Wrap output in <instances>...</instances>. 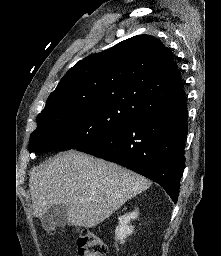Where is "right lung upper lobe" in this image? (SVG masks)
<instances>
[{
    "label": "right lung upper lobe",
    "mask_w": 221,
    "mask_h": 256,
    "mask_svg": "<svg viewBox=\"0 0 221 256\" xmlns=\"http://www.w3.org/2000/svg\"><path fill=\"white\" fill-rule=\"evenodd\" d=\"M185 101L170 50L153 36L137 35L70 68L40 114L112 104L138 117Z\"/></svg>",
    "instance_id": "right-lung-upper-lobe-1"
}]
</instances>
